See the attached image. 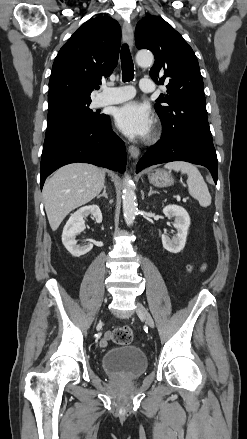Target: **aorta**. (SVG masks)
I'll return each mask as SVG.
<instances>
[{"mask_svg":"<svg viewBox=\"0 0 247 439\" xmlns=\"http://www.w3.org/2000/svg\"><path fill=\"white\" fill-rule=\"evenodd\" d=\"M153 61L154 57L150 52H139L136 55V62L140 66H150ZM133 186V181L128 175H126L124 179V189L122 192V203L124 219L128 226L133 224L137 212L136 195L133 190Z\"/></svg>","mask_w":247,"mask_h":439,"instance_id":"762f6f07","label":"aorta"}]
</instances>
